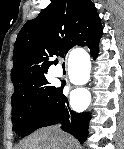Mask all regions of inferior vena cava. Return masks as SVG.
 <instances>
[{
    "label": "inferior vena cava",
    "instance_id": "602c4592",
    "mask_svg": "<svg viewBox=\"0 0 124 149\" xmlns=\"http://www.w3.org/2000/svg\"><path fill=\"white\" fill-rule=\"evenodd\" d=\"M54 129L56 130V132H60L58 127H54ZM64 149H69V146H64Z\"/></svg>",
    "mask_w": 124,
    "mask_h": 149
}]
</instances>
